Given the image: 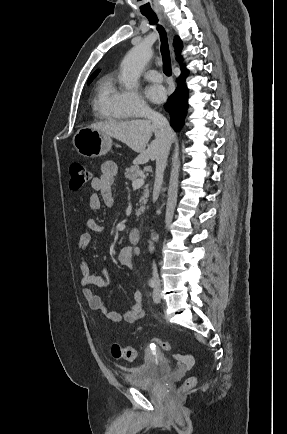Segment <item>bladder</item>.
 I'll list each match as a JSON object with an SVG mask.
<instances>
[{
  "instance_id": "31cf9c89",
  "label": "bladder",
  "mask_w": 287,
  "mask_h": 434,
  "mask_svg": "<svg viewBox=\"0 0 287 434\" xmlns=\"http://www.w3.org/2000/svg\"><path fill=\"white\" fill-rule=\"evenodd\" d=\"M170 363L160 352L146 353L144 361L125 374V382L138 388H148L170 373Z\"/></svg>"
}]
</instances>
